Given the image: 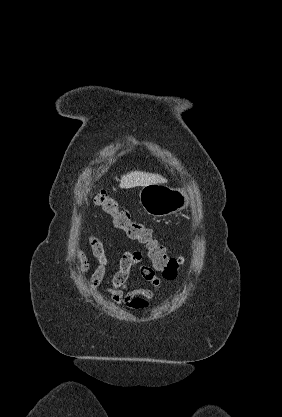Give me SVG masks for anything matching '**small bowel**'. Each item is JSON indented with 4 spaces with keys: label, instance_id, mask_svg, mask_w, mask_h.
Listing matches in <instances>:
<instances>
[{
    "label": "small bowel",
    "instance_id": "obj_1",
    "mask_svg": "<svg viewBox=\"0 0 282 417\" xmlns=\"http://www.w3.org/2000/svg\"><path fill=\"white\" fill-rule=\"evenodd\" d=\"M88 242L92 255L98 262L97 267L90 277L91 289L95 290L100 286L105 277L108 259L104 245L98 237L89 235ZM76 256L80 264V273L86 274L90 269L88 256L79 248L76 249ZM140 262V252H125L121 256L119 269L113 277L112 287L109 290L112 301L116 305H125L133 310H144L148 307L149 300L157 295L162 284L161 279L156 275L152 267L140 264ZM136 270H138L146 281L150 282L151 288L128 290V281Z\"/></svg>",
    "mask_w": 282,
    "mask_h": 417
}]
</instances>
